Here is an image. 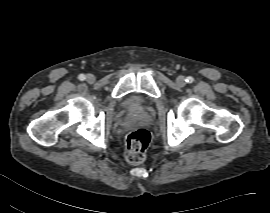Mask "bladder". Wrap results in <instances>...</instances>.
Here are the masks:
<instances>
[{
  "mask_svg": "<svg viewBox=\"0 0 270 213\" xmlns=\"http://www.w3.org/2000/svg\"><path fill=\"white\" fill-rule=\"evenodd\" d=\"M120 106L126 112L142 111L148 107L147 101L140 94L132 93L126 95L120 102Z\"/></svg>",
  "mask_w": 270,
  "mask_h": 213,
  "instance_id": "1",
  "label": "bladder"
}]
</instances>
